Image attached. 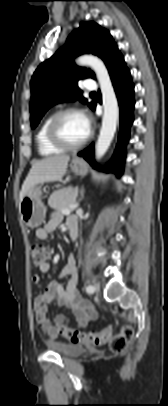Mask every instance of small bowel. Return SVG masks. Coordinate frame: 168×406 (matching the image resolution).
<instances>
[{"label":"small bowel","mask_w":168,"mask_h":406,"mask_svg":"<svg viewBox=\"0 0 168 406\" xmlns=\"http://www.w3.org/2000/svg\"><path fill=\"white\" fill-rule=\"evenodd\" d=\"M70 221H76L75 218L69 217L67 225ZM62 222V215L54 212L50 220L36 231L37 238L47 240L51 232H53ZM50 270V264L46 263L40 267L42 273H47ZM68 277L66 287H63L60 281L53 280L45 288L42 294L37 295L33 300L35 318L41 329L51 338H56L59 335L57 325L68 323V318L63 313H57L54 318V324L47 317V305L56 301L58 306L69 308L74 315L79 326H84L90 321L97 318V312L91 302L83 299L78 288V273L76 258L71 255L66 266L59 273L58 278ZM41 277L39 274L32 276V282L40 283Z\"/></svg>","instance_id":"obj_1"}]
</instances>
